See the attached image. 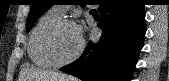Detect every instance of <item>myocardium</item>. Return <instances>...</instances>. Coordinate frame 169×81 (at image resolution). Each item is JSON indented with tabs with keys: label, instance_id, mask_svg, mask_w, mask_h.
<instances>
[{
	"label": "myocardium",
	"instance_id": "f54148a6",
	"mask_svg": "<svg viewBox=\"0 0 169 81\" xmlns=\"http://www.w3.org/2000/svg\"><path fill=\"white\" fill-rule=\"evenodd\" d=\"M64 26H76L75 22L70 19H60L57 21L51 28L47 31L45 38H44V52L48 59L55 65V66H64L67 65L76 59H78L83 50H84V40L81 38L80 46L78 50L69 58L67 59H60L54 49V40L58 31Z\"/></svg>",
	"mask_w": 169,
	"mask_h": 81
}]
</instances>
